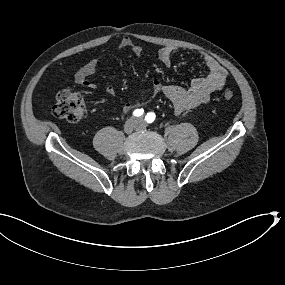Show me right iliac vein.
I'll return each instance as SVG.
<instances>
[{"mask_svg": "<svg viewBox=\"0 0 285 285\" xmlns=\"http://www.w3.org/2000/svg\"><path fill=\"white\" fill-rule=\"evenodd\" d=\"M136 124L134 121H127L124 125V131L127 133H131L135 130Z\"/></svg>", "mask_w": 285, "mask_h": 285, "instance_id": "1", "label": "right iliac vein"}]
</instances>
